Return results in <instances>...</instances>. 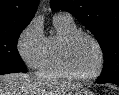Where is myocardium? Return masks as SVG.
<instances>
[{
  "label": "myocardium",
  "instance_id": "myocardium-1",
  "mask_svg": "<svg viewBox=\"0 0 119 95\" xmlns=\"http://www.w3.org/2000/svg\"><path fill=\"white\" fill-rule=\"evenodd\" d=\"M80 36H85L89 38L90 40H92L93 43L96 45L99 52V63H98L97 70L93 74H90V75H80L76 73L73 70L70 63L69 56H70L71 45ZM59 59H60V64L63 70L66 72V74L69 77L77 79V80L88 81V80H93L98 78L100 74L102 73L104 64H105V53L100 41L94 35H92L91 33L87 31L77 29L75 31L70 32L62 39L60 44V50H59Z\"/></svg>",
  "mask_w": 119,
  "mask_h": 95
}]
</instances>
